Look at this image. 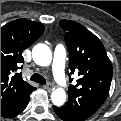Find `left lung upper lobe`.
Masks as SVG:
<instances>
[{
	"mask_svg": "<svg viewBox=\"0 0 121 121\" xmlns=\"http://www.w3.org/2000/svg\"><path fill=\"white\" fill-rule=\"evenodd\" d=\"M59 24L67 31L65 42L69 51L70 75L79 76L77 84L69 86L68 101L61 109L71 120L83 121L106 100L112 65L101 41L87 28L71 20H61Z\"/></svg>",
	"mask_w": 121,
	"mask_h": 121,
	"instance_id": "5c2ea615",
	"label": "left lung upper lobe"
}]
</instances>
